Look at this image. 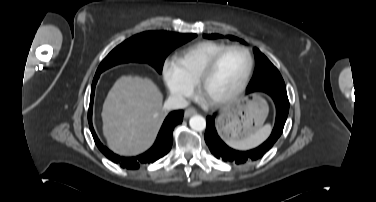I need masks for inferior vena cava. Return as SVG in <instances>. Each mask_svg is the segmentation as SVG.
<instances>
[{
    "label": "inferior vena cava",
    "instance_id": "inferior-vena-cava-1",
    "mask_svg": "<svg viewBox=\"0 0 376 202\" xmlns=\"http://www.w3.org/2000/svg\"><path fill=\"white\" fill-rule=\"evenodd\" d=\"M188 106V102L181 96L172 95L169 96L164 104V109L174 110L183 109Z\"/></svg>",
    "mask_w": 376,
    "mask_h": 202
}]
</instances>
